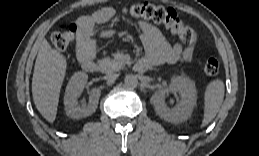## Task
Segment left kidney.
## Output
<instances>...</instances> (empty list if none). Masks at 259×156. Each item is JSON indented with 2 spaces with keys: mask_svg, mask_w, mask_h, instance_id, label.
<instances>
[{
  "mask_svg": "<svg viewBox=\"0 0 259 156\" xmlns=\"http://www.w3.org/2000/svg\"><path fill=\"white\" fill-rule=\"evenodd\" d=\"M178 92L180 101L174 108H168L165 104V95L168 92ZM197 92L193 80L187 77H173L168 89H161L151 97V103L155 107L156 113L164 120L169 122L186 121L192 114L196 104Z\"/></svg>",
  "mask_w": 259,
  "mask_h": 156,
  "instance_id": "1",
  "label": "left kidney"
}]
</instances>
